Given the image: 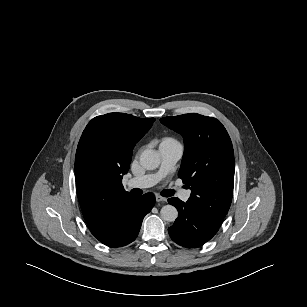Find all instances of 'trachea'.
<instances>
[{
    "label": "trachea",
    "instance_id": "trachea-1",
    "mask_svg": "<svg viewBox=\"0 0 307 307\" xmlns=\"http://www.w3.org/2000/svg\"><path fill=\"white\" fill-rule=\"evenodd\" d=\"M174 193H175L174 190H172V189H167V190H163V191L161 192V195H162L163 197H170V196L174 195Z\"/></svg>",
    "mask_w": 307,
    "mask_h": 307
}]
</instances>
